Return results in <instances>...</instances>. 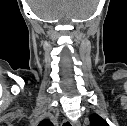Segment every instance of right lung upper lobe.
Masks as SVG:
<instances>
[{
    "label": "right lung upper lobe",
    "instance_id": "cb5924a9",
    "mask_svg": "<svg viewBox=\"0 0 127 126\" xmlns=\"http://www.w3.org/2000/svg\"><path fill=\"white\" fill-rule=\"evenodd\" d=\"M38 126H53V124L48 120H43Z\"/></svg>",
    "mask_w": 127,
    "mask_h": 126
}]
</instances>
